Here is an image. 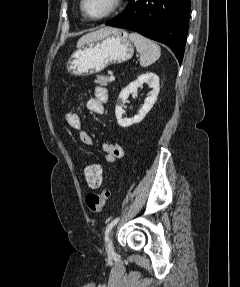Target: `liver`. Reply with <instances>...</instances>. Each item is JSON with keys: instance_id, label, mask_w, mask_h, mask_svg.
I'll return each instance as SVG.
<instances>
[{"instance_id": "liver-1", "label": "liver", "mask_w": 240, "mask_h": 287, "mask_svg": "<svg viewBox=\"0 0 240 287\" xmlns=\"http://www.w3.org/2000/svg\"><path fill=\"white\" fill-rule=\"evenodd\" d=\"M114 28L113 27H104V28H101L97 31H94V32H90V33H87L86 35L82 36L78 42H77V46H80V45H83L89 41H92V40H95V39H98L106 34H108L109 32H111Z\"/></svg>"}]
</instances>
